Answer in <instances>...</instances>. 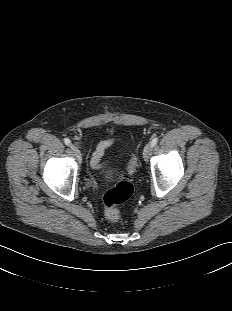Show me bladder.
<instances>
[{"label": "bladder", "instance_id": "bladder-1", "mask_svg": "<svg viewBox=\"0 0 232 311\" xmlns=\"http://www.w3.org/2000/svg\"><path fill=\"white\" fill-rule=\"evenodd\" d=\"M112 174H113V169L112 168H109L107 169V171L105 172V177L107 179H110L112 177Z\"/></svg>", "mask_w": 232, "mask_h": 311}]
</instances>
